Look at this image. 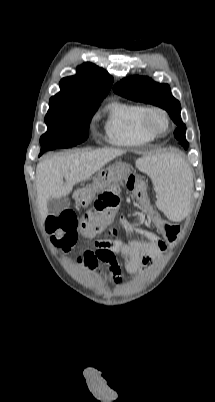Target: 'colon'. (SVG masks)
Wrapping results in <instances>:
<instances>
[{
	"label": "colon",
	"mask_w": 215,
	"mask_h": 402,
	"mask_svg": "<svg viewBox=\"0 0 215 402\" xmlns=\"http://www.w3.org/2000/svg\"><path fill=\"white\" fill-rule=\"evenodd\" d=\"M127 161V160H126ZM126 188L143 204L144 211L155 223L161 237L168 246H177L181 237V224L175 225L162 220L157 213L145 202L146 185L142 178L131 172L126 180ZM122 202L118 188L102 192L94 203L93 211H86L81 219L80 229L85 237H92L101 232L115 221ZM126 220H121L124 224ZM78 220L71 211H64L58 216L51 215L47 219V230L51 241L64 251L70 250L78 239Z\"/></svg>",
	"instance_id": "1"
}]
</instances>
